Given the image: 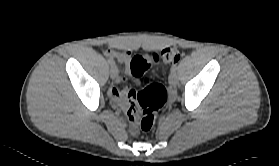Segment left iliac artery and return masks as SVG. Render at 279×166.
<instances>
[{"instance_id": "44dca946", "label": "left iliac artery", "mask_w": 279, "mask_h": 166, "mask_svg": "<svg viewBox=\"0 0 279 166\" xmlns=\"http://www.w3.org/2000/svg\"><path fill=\"white\" fill-rule=\"evenodd\" d=\"M176 70H177V65L174 64V65L171 67V72L176 71Z\"/></svg>"}]
</instances>
